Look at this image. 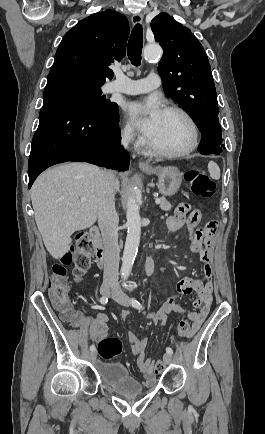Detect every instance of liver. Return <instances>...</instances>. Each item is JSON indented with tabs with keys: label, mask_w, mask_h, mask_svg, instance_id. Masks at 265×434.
Wrapping results in <instances>:
<instances>
[{
	"label": "liver",
	"mask_w": 265,
	"mask_h": 434,
	"mask_svg": "<svg viewBox=\"0 0 265 434\" xmlns=\"http://www.w3.org/2000/svg\"><path fill=\"white\" fill-rule=\"evenodd\" d=\"M99 172L97 166L73 162L46 170L35 180L31 188L35 222L55 260L68 252L74 232L95 224L101 198L96 188ZM115 190H119L118 180Z\"/></svg>",
	"instance_id": "liver-1"
}]
</instances>
